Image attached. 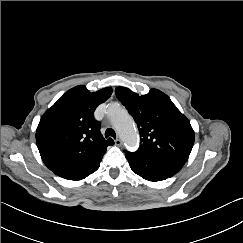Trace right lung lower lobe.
<instances>
[{
  "mask_svg": "<svg viewBox=\"0 0 243 243\" xmlns=\"http://www.w3.org/2000/svg\"><path fill=\"white\" fill-rule=\"evenodd\" d=\"M98 168H99V164L87 169L84 172L74 174V175H69V176H66L63 178L68 179V180H75V181L82 180V179L86 178L87 176H89L90 174H92L93 172H95Z\"/></svg>",
  "mask_w": 243,
  "mask_h": 243,
  "instance_id": "98d812e1",
  "label": "right lung lower lobe"
}]
</instances>
